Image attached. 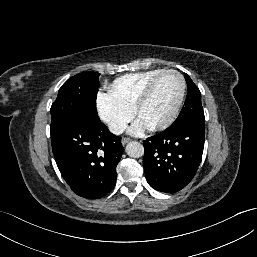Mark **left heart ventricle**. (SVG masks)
<instances>
[{
	"label": "left heart ventricle",
	"mask_w": 257,
	"mask_h": 257,
	"mask_svg": "<svg viewBox=\"0 0 257 257\" xmlns=\"http://www.w3.org/2000/svg\"><path fill=\"white\" fill-rule=\"evenodd\" d=\"M181 82L177 75L168 73L160 78L154 91L141 109L138 118L150 127L164 121L172 112L180 95Z\"/></svg>",
	"instance_id": "obj_1"
}]
</instances>
